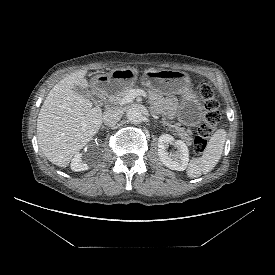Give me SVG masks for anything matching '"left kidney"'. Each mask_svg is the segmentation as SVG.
I'll return each instance as SVG.
<instances>
[{"label":"left kidney","instance_id":"5707ae66","mask_svg":"<svg viewBox=\"0 0 275 275\" xmlns=\"http://www.w3.org/2000/svg\"><path fill=\"white\" fill-rule=\"evenodd\" d=\"M169 144H173L178 149L177 153L168 152ZM158 156L166 167L176 171H184L189 162L187 145L181 140H174L169 134H162L158 138Z\"/></svg>","mask_w":275,"mask_h":275}]
</instances>
